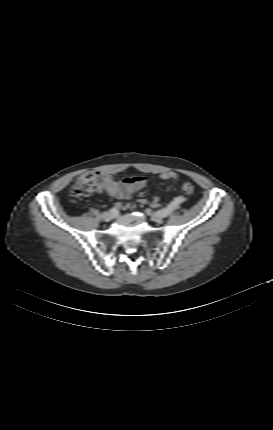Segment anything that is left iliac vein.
<instances>
[{"label":"left iliac vein","instance_id":"left-iliac-vein-1","mask_svg":"<svg viewBox=\"0 0 273 430\" xmlns=\"http://www.w3.org/2000/svg\"><path fill=\"white\" fill-rule=\"evenodd\" d=\"M150 216H151L152 220H154L156 222H160L162 220V216L159 212L150 213Z\"/></svg>","mask_w":273,"mask_h":430}]
</instances>
